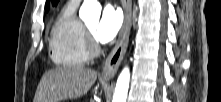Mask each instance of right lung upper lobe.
Wrapping results in <instances>:
<instances>
[{
    "label": "right lung upper lobe",
    "instance_id": "cb5924a9",
    "mask_svg": "<svg viewBox=\"0 0 221 102\" xmlns=\"http://www.w3.org/2000/svg\"><path fill=\"white\" fill-rule=\"evenodd\" d=\"M49 8V0L46 1V10Z\"/></svg>",
    "mask_w": 221,
    "mask_h": 102
}]
</instances>
